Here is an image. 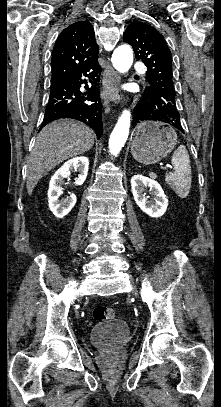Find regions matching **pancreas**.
<instances>
[{
  "instance_id": "pancreas-1",
  "label": "pancreas",
  "mask_w": 221,
  "mask_h": 407,
  "mask_svg": "<svg viewBox=\"0 0 221 407\" xmlns=\"http://www.w3.org/2000/svg\"><path fill=\"white\" fill-rule=\"evenodd\" d=\"M152 177H155V175H154V174H152Z\"/></svg>"
}]
</instances>
